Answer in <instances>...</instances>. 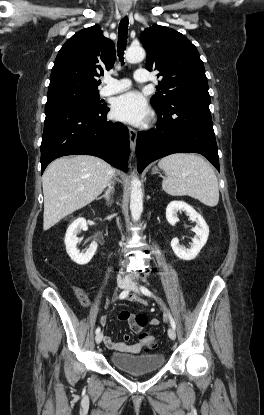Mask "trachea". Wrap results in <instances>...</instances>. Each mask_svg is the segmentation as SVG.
I'll return each mask as SVG.
<instances>
[{
	"label": "trachea",
	"instance_id": "3493384b",
	"mask_svg": "<svg viewBox=\"0 0 264 415\" xmlns=\"http://www.w3.org/2000/svg\"><path fill=\"white\" fill-rule=\"evenodd\" d=\"M129 20L127 16L121 19L118 27V57L122 64H124V50L127 45V33H128Z\"/></svg>",
	"mask_w": 264,
	"mask_h": 415
}]
</instances>
